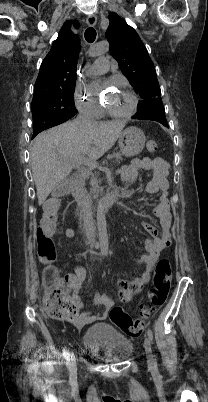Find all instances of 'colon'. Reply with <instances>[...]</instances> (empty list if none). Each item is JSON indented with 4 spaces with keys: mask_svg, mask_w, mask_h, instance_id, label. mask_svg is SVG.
<instances>
[{
    "mask_svg": "<svg viewBox=\"0 0 208 402\" xmlns=\"http://www.w3.org/2000/svg\"><path fill=\"white\" fill-rule=\"evenodd\" d=\"M146 149L150 153L157 150V144L153 140L146 143ZM45 228L55 226V219L47 216L43 220ZM51 232H44L42 228L38 229V249L37 256L42 265V275L46 281L44 288L46 291L45 299L42 301L43 308H47L48 314H67L74 318L79 314L77 306H81L83 300L81 297H73L74 287L70 277H60L58 259L52 256L56 244ZM171 264L168 260H160L154 272V279L148 290V301L143 304L139 313V318L132 317L121 306H113L110 309L109 316L112 323L119 328L128 337H139L144 329L145 320H147L156 309L162 307L167 300L171 283Z\"/></svg>",
    "mask_w": 208,
    "mask_h": 402,
    "instance_id": "1",
    "label": "colon"
}]
</instances>
